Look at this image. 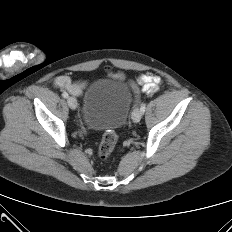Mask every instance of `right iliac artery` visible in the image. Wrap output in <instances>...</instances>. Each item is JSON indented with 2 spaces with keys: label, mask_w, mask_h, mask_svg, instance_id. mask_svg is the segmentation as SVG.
I'll return each mask as SVG.
<instances>
[{
  "label": "right iliac artery",
  "mask_w": 232,
  "mask_h": 232,
  "mask_svg": "<svg viewBox=\"0 0 232 232\" xmlns=\"http://www.w3.org/2000/svg\"><path fill=\"white\" fill-rule=\"evenodd\" d=\"M62 96H63L64 98H68V93H67V92H63V93H62Z\"/></svg>",
  "instance_id": "1"
}]
</instances>
